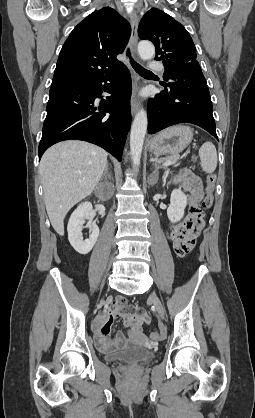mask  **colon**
<instances>
[{
    "label": "colon",
    "instance_id": "5ec220e1",
    "mask_svg": "<svg viewBox=\"0 0 255 418\" xmlns=\"http://www.w3.org/2000/svg\"><path fill=\"white\" fill-rule=\"evenodd\" d=\"M216 177L215 175H210L206 181L205 187V197L203 199L202 205H193L189 210V214L186 220L177 226L176 228H198L199 233L201 232L204 226V209L211 208L213 204V192L215 189ZM173 233V232H172ZM192 249H190L191 251ZM161 334L157 331L151 334V339L157 341L161 339Z\"/></svg>",
    "mask_w": 255,
    "mask_h": 418
}]
</instances>
